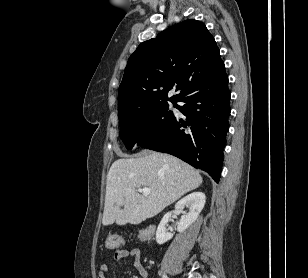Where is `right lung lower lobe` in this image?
Masks as SVG:
<instances>
[{
    "instance_id": "right-lung-lower-lobe-1",
    "label": "right lung lower lobe",
    "mask_w": 308,
    "mask_h": 278,
    "mask_svg": "<svg viewBox=\"0 0 308 278\" xmlns=\"http://www.w3.org/2000/svg\"><path fill=\"white\" fill-rule=\"evenodd\" d=\"M230 96L226 76L213 86L185 97L180 101L185 104L176 108L186 120L175 116L141 147L172 154L206 171L218 183L229 129Z\"/></svg>"
}]
</instances>
